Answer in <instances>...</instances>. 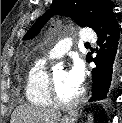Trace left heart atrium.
Masks as SVG:
<instances>
[{
	"label": "left heart atrium",
	"instance_id": "obj_1",
	"mask_svg": "<svg viewBox=\"0 0 122 123\" xmlns=\"http://www.w3.org/2000/svg\"><path fill=\"white\" fill-rule=\"evenodd\" d=\"M67 77L72 84L81 87L84 81L85 71L84 66L80 60L76 59L73 62L72 66L67 71Z\"/></svg>",
	"mask_w": 122,
	"mask_h": 123
}]
</instances>
